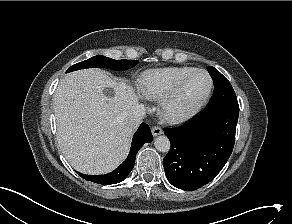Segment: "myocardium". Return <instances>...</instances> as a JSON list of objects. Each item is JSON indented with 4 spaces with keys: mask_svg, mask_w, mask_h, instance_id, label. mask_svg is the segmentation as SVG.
Listing matches in <instances>:
<instances>
[{
    "mask_svg": "<svg viewBox=\"0 0 292 224\" xmlns=\"http://www.w3.org/2000/svg\"><path fill=\"white\" fill-rule=\"evenodd\" d=\"M197 73H205L209 78V88L206 95L200 100L193 108L189 109L186 112L182 113H174L172 112V105L175 100L178 98L182 88L186 84V82L195 74ZM214 87V81L211 74L205 69H195L190 73L183 76L175 85L174 87L162 98L160 99L159 103V114L161 118L170 124H178L184 121H187L194 117L197 113H199L202 108L207 104L209 101L212 91Z\"/></svg>",
    "mask_w": 292,
    "mask_h": 224,
    "instance_id": "obj_1",
    "label": "myocardium"
}]
</instances>
